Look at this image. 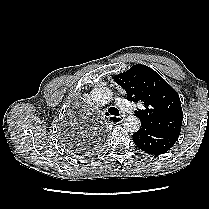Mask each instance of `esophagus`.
Wrapping results in <instances>:
<instances>
[{"label": "esophagus", "instance_id": "esophagus-1", "mask_svg": "<svg viewBox=\"0 0 209 209\" xmlns=\"http://www.w3.org/2000/svg\"><path fill=\"white\" fill-rule=\"evenodd\" d=\"M126 115L122 114L120 116H109L108 120L111 123H120L125 119Z\"/></svg>", "mask_w": 209, "mask_h": 209}]
</instances>
